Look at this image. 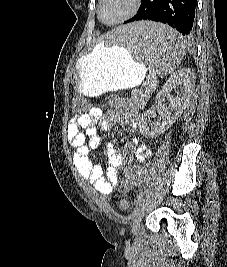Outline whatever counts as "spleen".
I'll return each instance as SVG.
<instances>
[{
  "instance_id": "1",
  "label": "spleen",
  "mask_w": 227,
  "mask_h": 267,
  "mask_svg": "<svg viewBox=\"0 0 227 267\" xmlns=\"http://www.w3.org/2000/svg\"><path fill=\"white\" fill-rule=\"evenodd\" d=\"M117 33L101 36L98 47H121V55H133L151 68L144 81H163L173 77V70L185 53V42L178 33L156 19H134L116 25Z\"/></svg>"
}]
</instances>
